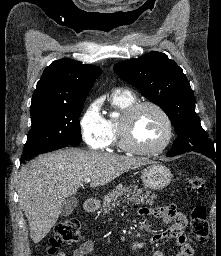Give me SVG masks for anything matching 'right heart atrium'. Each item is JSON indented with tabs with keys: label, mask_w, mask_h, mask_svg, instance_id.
Masks as SVG:
<instances>
[{
	"label": "right heart atrium",
	"mask_w": 221,
	"mask_h": 256,
	"mask_svg": "<svg viewBox=\"0 0 221 256\" xmlns=\"http://www.w3.org/2000/svg\"><path fill=\"white\" fill-rule=\"evenodd\" d=\"M79 127L84 142L92 149L103 150L109 146L107 120L96 101L91 102L82 112Z\"/></svg>",
	"instance_id": "d8ad5b80"
}]
</instances>
